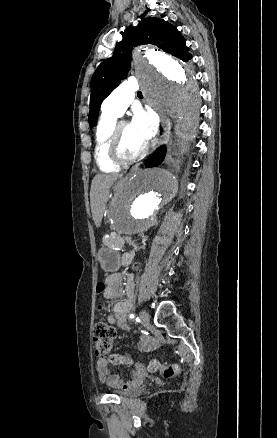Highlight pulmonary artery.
<instances>
[{
  "label": "pulmonary artery",
  "mask_w": 277,
  "mask_h": 438,
  "mask_svg": "<svg viewBox=\"0 0 277 438\" xmlns=\"http://www.w3.org/2000/svg\"><path fill=\"white\" fill-rule=\"evenodd\" d=\"M138 89V82L133 76H126L121 87H117L115 95H107L106 103L102 106V113L105 116L118 118L133 100L134 90Z\"/></svg>",
  "instance_id": "e3ab8cb5"
}]
</instances>
